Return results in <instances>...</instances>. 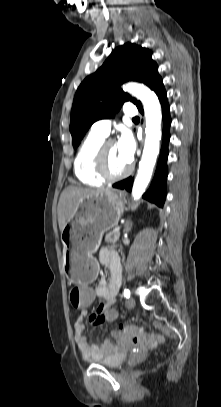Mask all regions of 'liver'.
I'll return each instance as SVG.
<instances>
[{
	"label": "liver",
	"instance_id": "obj_1",
	"mask_svg": "<svg viewBox=\"0 0 221 407\" xmlns=\"http://www.w3.org/2000/svg\"><path fill=\"white\" fill-rule=\"evenodd\" d=\"M107 189H91V188H79L75 186H69L63 190L58 202V224L59 229L62 232L66 223L76 211V207L79 202L85 197L103 192Z\"/></svg>",
	"mask_w": 221,
	"mask_h": 407
}]
</instances>
